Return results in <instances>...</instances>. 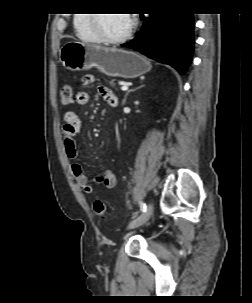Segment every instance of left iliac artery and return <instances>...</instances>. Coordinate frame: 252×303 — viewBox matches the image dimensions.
Returning <instances> with one entry per match:
<instances>
[{"instance_id":"left-iliac-artery-1","label":"left iliac artery","mask_w":252,"mask_h":303,"mask_svg":"<svg viewBox=\"0 0 252 303\" xmlns=\"http://www.w3.org/2000/svg\"><path fill=\"white\" fill-rule=\"evenodd\" d=\"M139 204H140L141 211L142 212L146 211V209H147L146 204L144 202H141V201L139 202Z\"/></svg>"}]
</instances>
